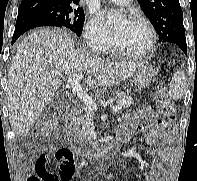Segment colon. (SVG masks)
I'll use <instances>...</instances> for the list:
<instances>
[{"instance_id":"obj_1","label":"colon","mask_w":197,"mask_h":181,"mask_svg":"<svg viewBox=\"0 0 197 181\" xmlns=\"http://www.w3.org/2000/svg\"><path fill=\"white\" fill-rule=\"evenodd\" d=\"M157 106L160 114L167 120L175 118V107L170 100L168 93L164 87L157 92ZM56 129V122L47 115L41 124L36 128L39 136H47ZM59 162V170L57 173L48 171L45 167L46 158L40 151L30 153V159L34 166V171L30 175L28 181H70L74 174V155L71 150L64 148L57 151L55 155Z\"/></svg>"}]
</instances>
